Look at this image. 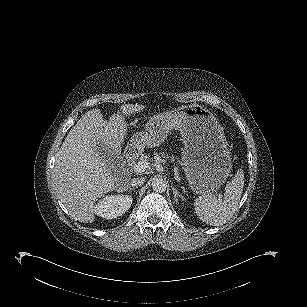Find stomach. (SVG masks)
Masks as SVG:
<instances>
[{
	"mask_svg": "<svg viewBox=\"0 0 307 307\" xmlns=\"http://www.w3.org/2000/svg\"><path fill=\"white\" fill-rule=\"evenodd\" d=\"M172 129L182 136L181 162L191 189L199 193L218 190L229 176L231 158L215 116L197 104L158 113L147 121L145 132L133 142L156 146Z\"/></svg>",
	"mask_w": 307,
	"mask_h": 307,
	"instance_id": "0dacf381",
	"label": "stomach"
}]
</instances>
